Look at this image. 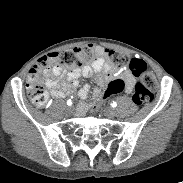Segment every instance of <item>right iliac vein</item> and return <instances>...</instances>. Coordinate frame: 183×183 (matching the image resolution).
Instances as JSON below:
<instances>
[{
  "instance_id": "1",
  "label": "right iliac vein",
  "mask_w": 183,
  "mask_h": 183,
  "mask_svg": "<svg viewBox=\"0 0 183 183\" xmlns=\"http://www.w3.org/2000/svg\"><path fill=\"white\" fill-rule=\"evenodd\" d=\"M69 110L71 111L72 110V107H70Z\"/></svg>"
}]
</instances>
